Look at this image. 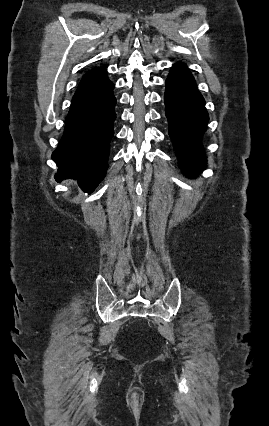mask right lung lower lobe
Wrapping results in <instances>:
<instances>
[{"label":"right lung lower lobe","instance_id":"obj_1","mask_svg":"<svg viewBox=\"0 0 269 426\" xmlns=\"http://www.w3.org/2000/svg\"><path fill=\"white\" fill-rule=\"evenodd\" d=\"M114 84L106 70L87 72L72 99L64 135L52 154L57 179H74L91 193L108 168L110 141L116 119Z\"/></svg>","mask_w":269,"mask_h":426}]
</instances>
